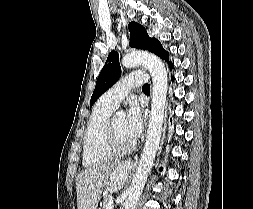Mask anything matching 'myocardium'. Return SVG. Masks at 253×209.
Masks as SVG:
<instances>
[{"mask_svg": "<svg viewBox=\"0 0 253 209\" xmlns=\"http://www.w3.org/2000/svg\"><path fill=\"white\" fill-rule=\"evenodd\" d=\"M114 118H109L105 127L104 145L109 154L113 157H121L130 154L136 147L132 143L128 147H120L117 143L116 136L113 129Z\"/></svg>", "mask_w": 253, "mask_h": 209, "instance_id": "f54148a6", "label": "myocardium"}]
</instances>
